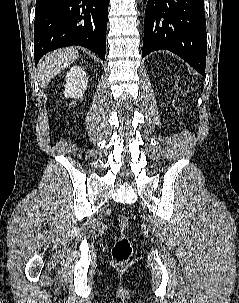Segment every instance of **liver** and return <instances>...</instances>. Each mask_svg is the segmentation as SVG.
<instances>
[{
    "mask_svg": "<svg viewBox=\"0 0 239 303\" xmlns=\"http://www.w3.org/2000/svg\"><path fill=\"white\" fill-rule=\"evenodd\" d=\"M78 56V50L73 47L55 50L44 56L38 65L41 87L45 88L57 74L78 59Z\"/></svg>",
    "mask_w": 239,
    "mask_h": 303,
    "instance_id": "1",
    "label": "liver"
}]
</instances>
